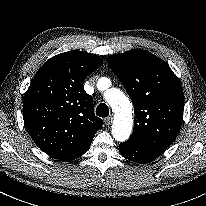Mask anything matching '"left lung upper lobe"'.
Listing matches in <instances>:
<instances>
[{"label": "left lung upper lobe", "instance_id": "1", "mask_svg": "<svg viewBox=\"0 0 206 206\" xmlns=\"http://www.w3.org/2000/svg\"><path fill=\"white\" fill-rule=\"evenodd\" d=\"M107 62L134 104L131 142L160 152L179 134L184 93L179 79L162 59L145 50L107 57Z\"/></svg>", "mask_w": 206, "mask_h": 206}]
</instances>
